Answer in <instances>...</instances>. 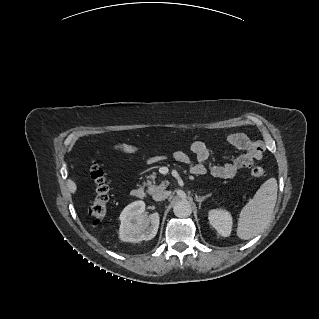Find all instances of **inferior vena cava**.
Instances as JSON below:
<instances>
[{
    "label": "inferior vena cava",
    "mask_w": 319,
    "mask_h": 319,
    "mask_svg": "<svg viewBox=\"0 0 319 319\" xmlns=\"http://www.w3.org/2000/svg\"><path fill=\"white\" fill-rule=\"evenodd\" d=\"M169 196L167 191H157L152 195L153 200L162 201L165 200Z\"/></svg>",
    "instance_id": "1"
}]
</instances>
